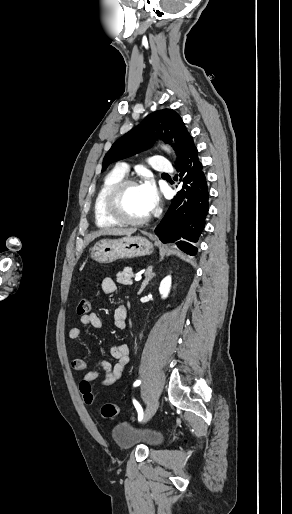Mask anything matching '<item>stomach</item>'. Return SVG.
<instances>
[{"instance_id":"stomach-1","label":"stomach","mask_w":292,"mask_h":514,"mask_svg":"<svg viewBox=\"0 0 292 514\" xmlns=\"http://www.w3.org/2000/svg\"><path fill=\"white\" fill-rule=\"evenodd\" d=\"M153 246L142 236H125L119 240H100L92 250V258L99 264H112L115 260L139 258L152 254Z\"/></svg>"}]
</instances>
